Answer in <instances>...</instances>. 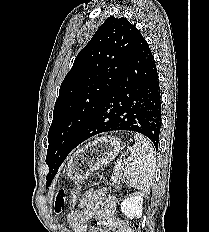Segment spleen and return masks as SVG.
<instances>
[{
	"label": "spleen",
	"mask_w": 209,
	"mask_h": 232,
	"mask_svg": "<svg viewBox=\"0 0 209 232\" xmlns=\"http://www.w3.org/2000/svg\"><path fill=\"white\" fill-rule=\"evenodd\" d=\"M136 143L130 148L133 160L125 167L126 182L129 186L149 193L153 185L156 158L153 146L141 134L134 136Z\"/></svg>",
	"instance_id": "spleen-1"
}]
</instances>
